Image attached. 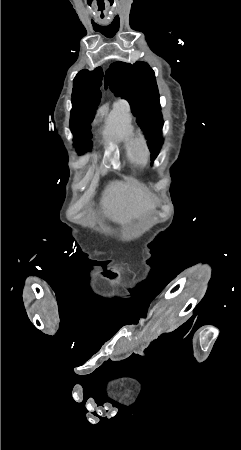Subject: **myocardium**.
I'll use <instances>...</instances> for the list:
<instances>
[{
    "instance_id": "myocardium-1",
    "label": "myocardium",
    "mask_w": 241,
    "mask_h": 450,
    "mask_svg": "<svg viewBox=\"0 0 241 450\" xmlns=\"http://www.w3.org/2000/svg\"><path fill=\"white\" fill-rule=\"evenodd\" d=\"M134 142H137L138 144H132V149H135V157H138L139 162H152L153 158L148 157V153L146 150L148 149V144H146V141L143 136H137L132 139ZM150 151V150H149Z\"/></svg>"
}]
</instances>
